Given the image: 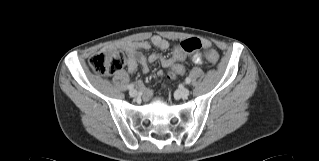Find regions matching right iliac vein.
<instances>
[{"mask_svg": "<svg viewBox=\"0 0 319 161\" xmlns=\"http://www.w3.org/2000/svg\"><path fill=\"white\" fill-rule=\"evenodd\" d=\"M129 94L131 97H136L138 95V92L136 90H131Z\"/></svg>", "mask_w": 319, "mask_h": 161, "instance_id": "63e3f726", "label": "right iliac vein"}]
</instances>
